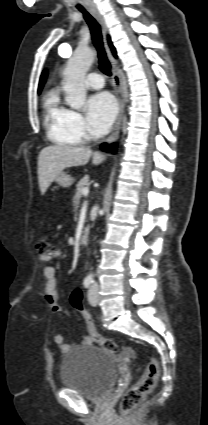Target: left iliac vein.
Listing matches in <instances>:
<instances>
[{
  "label": "left iliac vein",
  "instance_id": "left-iliac-vein-1",
  "mask_svg": "<svg viewBox=\"0 0 208 425\" xmlns=\"http://www.w3.org/2000/svg\"><path fill=\"white\" fill-rule=\"evenodd\" d=\"M98 289H99V287H98V284L97 283H94L91 287H90V289H89V292H88V300H89V303L92 305V306H97L98 305Z\"/></svg>",
  "mask_w": 208,
  "mask_h": 425
}]
</instances>
